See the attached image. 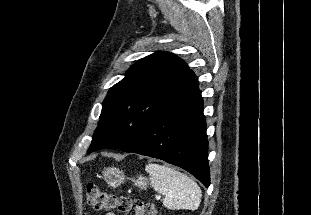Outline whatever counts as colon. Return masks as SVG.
Masks as SVG:
<instances>
[{
    "instance_id": "colon-1",
    "label": "colon",
    "mask_w": 311,
    "mask_h": 215,
    "mask_svg": "<svg viewBox=\"0 0 311 215\" xmlns=\"http://www.w3.org/2000/svg\"><path fill=\"white\" fill-rule=\"evenodd\" d=\"M87 203L96 211L116 210L123 215H156L155 207L150 202H133L128 197L117 196L102 190L94 183H89L86 188Z\"/></svg>"
}]
</instances>
